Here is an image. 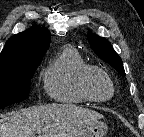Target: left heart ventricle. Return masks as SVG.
I'll use <instances>...</instances> for the list:
<instances>
[{
    "instance_id": "b2bd125f",
    "label": "left heart ventricle",
    "mask_w": 144,
    "mask_h": 137,
    "mask_svg": "<svg viewBox=\"0 0 144 137\" xmlns=\"http://www.w3.org/2000/svg\"><path fill=\"white\" fill-rule=\"evenodd\" d=\"M91 88L99 97H107L111 93V87L108 81L98 74L93 75L91 80Z\"/></svg>"
}]
</instances>
